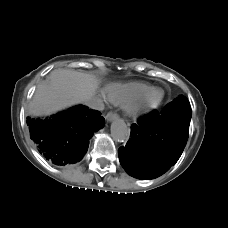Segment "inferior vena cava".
Here are the masks:
<instances>
[{
    "label": "inferior vena cava",
    "mask_w": 228,
    "mask_h": 228,
    "mask_svg": "<svg viewBox=\"0 0 228 228\" xmlns=\"http://www.w3.org/2000/svg\"><path fill=\"white\" fill-rule=\"evenodd\" d=\"M85 105L94 110H99V111L104 110L103 100L99 97H94L85 101Z\"/></svg>",
    "instance_id": "inferior-vena-cava-1"
}]
</instances>
